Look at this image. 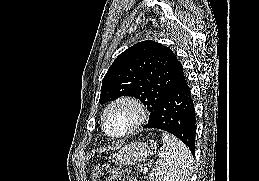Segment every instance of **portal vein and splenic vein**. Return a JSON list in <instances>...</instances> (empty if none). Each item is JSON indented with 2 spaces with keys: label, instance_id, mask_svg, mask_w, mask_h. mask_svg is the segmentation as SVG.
Segmentation results:
<instances>
[{
  "label": "portal vein and splenic vein",
  "instance_id": "portal-vein-and-splenic-vein-1",
  "mask_svg": "<svg viewBox=\"0 0 259 181\" xmlns=\"http://www.w3.org/2000/svg\"><path fill=\"white\" fill-rule=\"evenodd\" d=\"M141 171L147 172L148 171V167L141 168Z\"/></svg>",
  "mask_w": 259,
  "mask_h": 181
}]
</instances>
